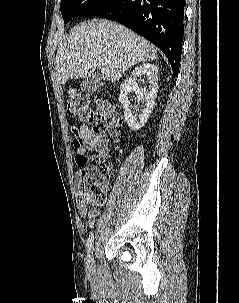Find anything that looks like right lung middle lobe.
<instances>
[{"label":"right lung middle lobe","mask_w":239,"mask_h":303,"mask_svg":"<svg viewBox=\"0 0 239 303\" xmlns=\"http://www.w3.org/2000/svg\"><path fill=\"white\" fill-rule=\"evenodd\" d=\"M105 1L106 0H62L60 9L64 23H68L73 17L89 14Z\"/></svg>","instance_id":"dd1d6c3e"}]
</instances>
